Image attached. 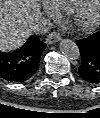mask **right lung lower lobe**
Instances as JSON below:
<instances>
[{
    "mask_svg": "<svg viewBox=\"0 0 100 118\" xmlns=\"http://www.w3.org/2000/svg\"><path fill=\"white\" fill-rule=\"evenodd\" d=\"M45 47L37 36H32L22 48L11 53L0 52V77L10 82H24L33 77Z\"/></svg>",
    "mask_w": 100,
    "mask_h": 118,
    "instance_id": "right-lung-lower-lobe-1",
    "label": "right lung lower lobe"
}]
</instances>
